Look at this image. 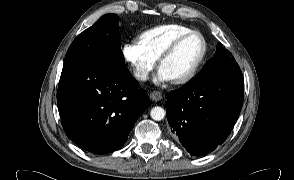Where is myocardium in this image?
Masks as SVG:
<instances>
[{
	"mask_svg": "<svg viewBox=\"0 0 294 180\" xmlns=\"http://www.w3.org/2000/svg\"><path fill=\"white\" fill-rule=\"evenodd\" d=\"M193 35H197L201 38L202 41V52L201 55L199 56L198 60L196 61V63L194 64V66L191 68V70L182 78H179L177 80H172V83L175 85H184L188 82H190L198 73V71L200 70L206 55H207V50H208V45H207V41L205 36L203 35V33H201L198 30H191L185 34L180 35L179 37H177L167 48L166 50L161 54L160 58H159V67L161 68L162 64L169 58L172 56V54L176 51V49L180 46V44L182 42H184L187 38L193 36Z\"/></svg>",
	"mask_w": 294,
	"mask_h": 180,
	"instance_id": "obj_1",
	"label": "myocardium"
}]
</instances>
